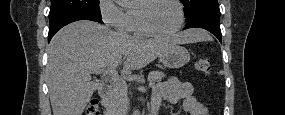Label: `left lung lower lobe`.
<instances>
[{
	"label": "left lung lower lobe",
	"mask_w": 285,
	"mask_h": 115,
	"mask_svg": "<svg viewBox=\"0 0 285 115\" xmlns=\"http://www.w3.org/2000/svg\"><path fill=\"white\" fill-rule=\"evenodd\" d=\"M186 17L187 24L185 29L194 27L204 28L214 34L221 42L220 10L218 2L202 5Z\"/></svg>",
	"instance_id": "obj_1"
}]
</instances>
